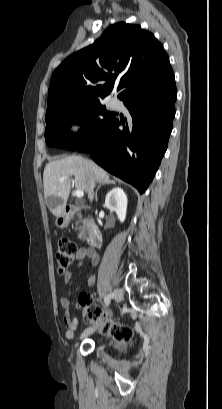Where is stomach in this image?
<instances>
[{
  "instance_id": "stomach-1",
  "label": "stomach",
  "mask_w": 222,
  "mask_h": 409,
  "mask_svg": "<svg viewBox=\"0 0 222 409\" xmlns=\"http://www.w3.org/2000/svg\"><path fill=\"white\" fill-rule=\"evenodd\" d=\"M70 220L71 215L63 209L62 212L56 216L55 225L58 228L63 229L69 225Z\"/></svg>"
}]
</instances>
